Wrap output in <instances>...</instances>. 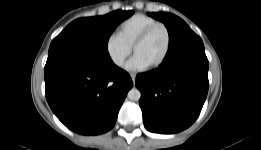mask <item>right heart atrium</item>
Returning <instances> with one entry per match:
<instances>
[{"mask_svg":"<svg viewBox=\"0 0 261 150\" xmlns=\"http://www.w3.org/2000/svg\"><path fill=\"white\" fill-rule=\"evenodd\" d=\"M131 47L124 43L116 34H111L105 41V51L111 63L121 68L131 54Z\"/></svg>","mask_w":261,"mask_h":150,"instance_id":"right-heart-atrium-1","label":"right heart atrium"}]
</instances>
